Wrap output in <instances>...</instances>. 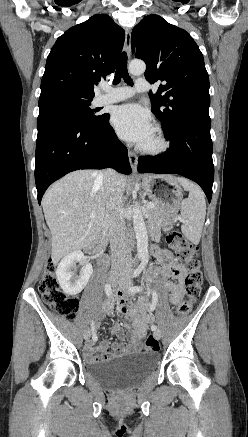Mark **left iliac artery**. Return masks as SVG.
Returning <instances> with one entry per match:
<instances>
[{
    "mask_svg": "<svg viewBox=\"0 0 248 437\" xmlns=\"http://www.w3.org/2000/svg\"><path fill=\"white\" fill-rule=\"evenodd\" d=\"M144 265H145V263L142 262V264L134 271L133 277L139 276V274L141 273V271L144 268ZM142 289H143L142 286H133L130 288V291L133 293H137V292H140ZM151 293H152V304H151L150 310L153 311L156 308L157 303H158V295L153 290H151ZM151 329H152V331H155L157 329V326L151 325Z\"/></svg>",
    "mask_w": 248,
    "mask_h": 437,
    "instance_id": "1",
    "label": "left iliac artery"
}]
</instances>
